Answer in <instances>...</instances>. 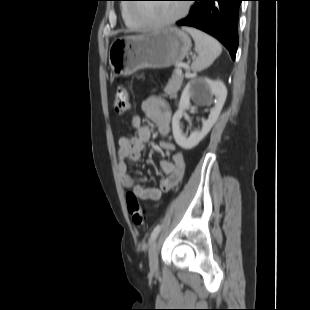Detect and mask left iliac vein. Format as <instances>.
<instances>
[{"label": "left iliac vein", "mask_w": 310, "mask_h": 310, "mask_svg": "<svg viewBox=\"0 0 310 310\" xmlns=\"http://www.w3.org/2000/svg\"><path fill=\"white\" fill-rule=\"evenodd\" d=\"M149 267L152 272L158 271V240L154 239L149 248Z\"/></svg>", "instance_id": "left-iliac-vein-1"}]
</instances>
